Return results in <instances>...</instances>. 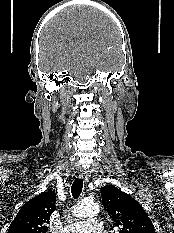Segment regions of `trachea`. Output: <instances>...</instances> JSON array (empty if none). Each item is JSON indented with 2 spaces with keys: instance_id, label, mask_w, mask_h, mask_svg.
I'll use <instances>...</instances> for the list:
<instances>
[{
  "instance_id": "3493384b",
  "label": "trachea",
  "mask_w": 174,
  "mask_h": 233,
  "mask_svg": "<svg viewBox=\"0 0 174 233\" xmlns=\"http://www.w3.org/2000/svg\"><path fill=\"white\" fill-rule=\"evenodd\" d=\"M83 179L76 178L71 187V193L74 198H78L82 192Z\"/></svg>"
}]
</instances>
